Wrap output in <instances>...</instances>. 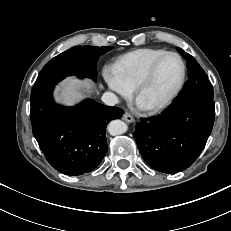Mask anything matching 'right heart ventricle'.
<instances>
[{
	"label": "right heart ventricle",
	"instance_id": "1",
	"mask_svg": "<svg viewBox=\"0 0 231 231\" xmlns=\"http://www.w3.org/2000/svg\"><path fill=\"white\" fill-rule=\"evenodd\" d=\"M166 52L165 49L161 48L136 49L117 58L112 69L117 77L132 89L153 61Z\"/></svg>",
	"mask_w": 231,
	"mask_h": 231
}]
</instances>
